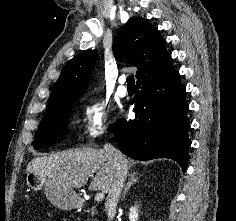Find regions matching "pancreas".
<instances>
[{"label": "pancreas", "instance_id": "pancreas-1", "mask_svg": "<svg viewBox=\"0 0 236 221\" xmlns=\"http://www.w3.org/2000/svg\"><path fill=\"white\" fill-rule=\"evenodd\" d=\"M94 215H95V211H94V210H92V213H91L92 220H91V221H95V220L93 219Z\"/></svg>", "mask_w": 236, "mask_h": 221}]
</instances>
